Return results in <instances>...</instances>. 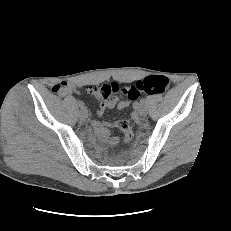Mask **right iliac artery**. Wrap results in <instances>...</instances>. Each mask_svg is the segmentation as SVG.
Instances as JSON below:
<instances>
[{"label":"right iliac artery","instance_id":"right-iliac-artery-1","mask_svg":"<svg viewBox=\"0 0 231 231\" xmlns=\"http://www.w3.org/2000/svg\"><path fill=\"white\" fill-rule=\"evenodd\" d=\"M78 106H79L80 108H84V103H83L82 101H78Z\"/></svg>","mask_w":231,"mask_h":231}]
</instances>
